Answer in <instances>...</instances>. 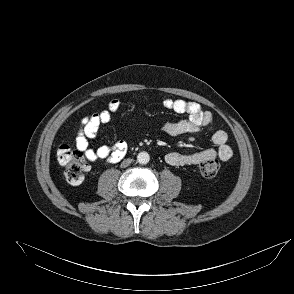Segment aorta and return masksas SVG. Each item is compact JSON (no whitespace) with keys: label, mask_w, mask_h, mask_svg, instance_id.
<instances>
[{"label":"aorta","mask_w":294,"mask_h":294,"mask_svg":"<svg viewBox=\"0 0 294 294\" xmlns=\"http://www.w3.org/2000/svg\"><path fill=\"white\" fill-rule=\"evenodd\" d=\"M150 160V156L147 152L143 151V152H140L138 155H137V161L140 163V164H147Z\"/></svg>","instance_id":"762f6f07"}]
</instances>
